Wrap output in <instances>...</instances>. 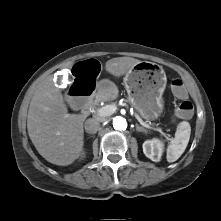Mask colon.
<instances>
[{
    "label": "colon",
    "mask_w": 221,
    "mask_h": 221,
    "mask_svg": "<svg viewBox=\"0 0 221 221\" xmlns=\"http://www.w3.org/2000/svg\"><path fill=\"white\" fill-rule=\"evenodd\" d=\"M101 65L93 59L78 63L72 73V84L68 87L67 95L70 106L73 109L81 110L94 96L93 89L101 76ZM173 94L180 98L187 97V90L182 80L174 79L171 82ZM176 115L183 119H188L193 115V105L188 100H183L176 109Z\"/></svg>",
    "instance_id": "obj_1"
}]
</instances>
